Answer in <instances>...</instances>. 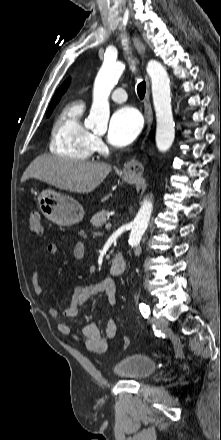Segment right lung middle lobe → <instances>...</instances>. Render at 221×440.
Masks as SVG:
<instances>
[{"label": "right lung middle lobe", "mask_w": 221, "mask_h": 440, "mask_svg": "<svg viewBox=\"0 0 221 440\" xmlns=\"http://www.w3.org/2000/svg\"><path fill=\"white\" fill-rule=\"evenodd\" d=\"M53 109H54V107H52L51 109H48V114H47V117H49V116L51 115V113H52Z\"/></svg>", "instance_id": "dd1d6c3e"}]
</instances>
